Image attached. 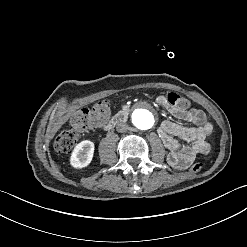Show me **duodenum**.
Returning a JSON list of instances; mask_svg holds the SVG:
<instances>
[{"mask_svg": "<svg viewBox=\"0 0 247 247\" xmlns=\"http://www.w3.org/2000/svg\"><path fill=\"white\" fill-rule=\"evenodd\" d=\"M129 114V108L125 107L119 110L106 124L105 130H111L116 124L123 121Z\"/></svg>", "mask_w": 247, "mask_h": 247, "instance_id": "1", "label": "duodenum"}]
</instances>
